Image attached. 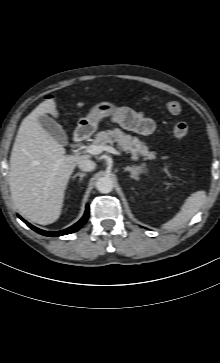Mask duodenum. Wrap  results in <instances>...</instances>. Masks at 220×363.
Listing matches in <instances>:
<instances>
[{
	"label": "duodenum",
	"instance_id": "1",
	"mask_svg": "<svg viewBox=\"0 0 220 363\" xmlns=\"http://www.w3.org/2000/svg\"><path fill=\"white\" fill-rule=\"evenodd\" d=\"M91 134V127L90 126H81L76 129L74 133L73 140L75 143H80L87 139Z\"/></svg>",
	"mask_w": 220,
	"mask_h": 363
}]
</instances>
